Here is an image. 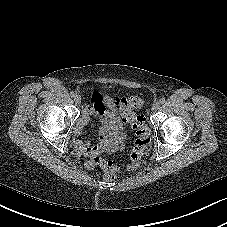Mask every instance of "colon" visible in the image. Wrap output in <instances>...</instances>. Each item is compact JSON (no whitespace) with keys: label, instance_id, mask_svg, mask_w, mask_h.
<instances>
[{"label":"colon","instance_id":"obj_1","mask_svg":"<svg viewBox=\"0 0 227 227\" xmlns=\"http://www.w3.org/2000/svg\"><path fill=\"white\" fill-rule=\"evenodd\" d=\"M143 104V99L138 96H132L122 100L121 110L123 121L132 126L137 137L130 155L131 162L125 170L138 168L150 145V131L146 125L145 117L134 113V110L142 108ZM95 166H99L104 176L110 180L114 179L117 173L123 170L112 161H107L98 155L93 156L88 162V167L93 168Z\"/></svg>","mask_w":227,"mask_h":227}]
</instances>
